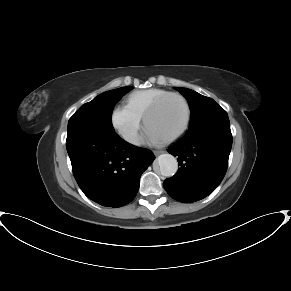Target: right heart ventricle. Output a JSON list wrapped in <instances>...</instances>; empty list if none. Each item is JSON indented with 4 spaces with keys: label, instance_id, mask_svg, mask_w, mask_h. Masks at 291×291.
<instances>
[{
    "label": "right heart ventricle",
    "instance_id": "obj_1",
    "mask_svg": "<svg viewBox=\"0 0 291 291\" xmlns=\"http://www.w3.org/2000/svg\"><path fill=\"white\" fill-rule=\"evenodd\" d=\"M166 93H168V91L159 88H148L134 91L128 95L127 105L143 117L153 102Z\"/></svg>",
    "mask_w": 291,
    "mask_h": 291
}]
</instances>
